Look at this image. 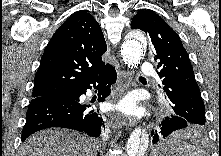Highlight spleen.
<instances>
[{
	"label": "spleen",
	"mask_w": 221,
	"mask_h": 156,
	"mask_svg": "<svg viewBox=\"0 0 221 156\" xmlns=\"http://www.w3.org/2000/svg\"><path fill=\"white\" fill-rule=\"evenodd\" d=\"M167 145L179 156H202V151L181 140H170Z\"/></svg>",
	"instance_id": "3e777b00"
}]
</instances>
